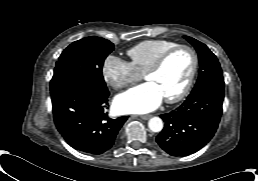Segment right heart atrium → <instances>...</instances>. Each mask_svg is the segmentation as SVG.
Instances as JSON below:
<instances>
[{
  "label": "right heart atrium",
  "instance_id": "right-heart-atrium-1",
  "mask_svg": "<svg viewBox=\"0 0 258 181\" xmlns=\"http://www.w3.org/2000/svg\"><path fill=\"white\" fill-rule=\"evenodd\" d=\"M102 75L105 82L114 89H122L142 77L130 62L113 55L105 58L102 65Z\"/></svg>",
  "mask_w": 258,
  "mask_h": 181
}]
</instances>
